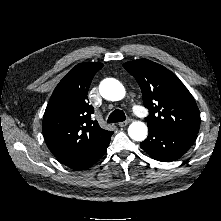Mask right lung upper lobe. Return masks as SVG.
Listing matches in <instances>:
<instances>
[{
    "instance_id": "cb5924a9",
    "label": "right lung upper lobe",
    "mask_w": 221,
    "mask_h": 221,
    "mask_svg": "<svg viewBox=\"0 0 221 221\" xmlns=\"http://www.w3.org/2000/svg\"><path fill=\"white\" fill-rule=\"evenodd\" d=\"M100 63H80L56 86L43 117L45 141L55 155L69 166L92 154L110 140L112 131L91 120L94 108L87 93Z\"/></svg>"
}]
</instances>
